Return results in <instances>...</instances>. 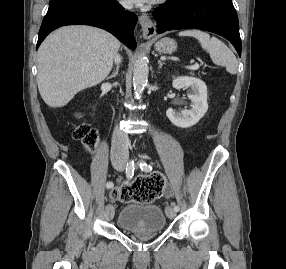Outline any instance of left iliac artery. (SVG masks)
<instances>
[{"label":"left iliac artery","mask_w":286,"mask_h":269,"mask_svg":"<svg viewBox=\"0 0 286 269\" xmlns=\"http://www.w3.org/2000/svg\"><path fill=\"white\" fill-rule=\"evenodd\" d=\"M139 166H140L141 170L144 172H149L152 170V166L147 164L146 162H141ZM172 206L174 207L175 211L179 210V207L175 203H172Z\"/></svg>","instance_id":"left-iliac-artery-1"}]
</instances>
